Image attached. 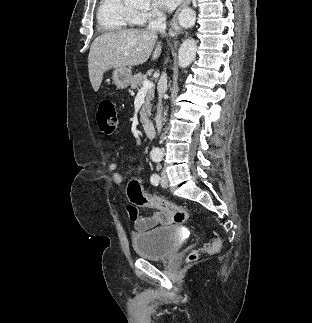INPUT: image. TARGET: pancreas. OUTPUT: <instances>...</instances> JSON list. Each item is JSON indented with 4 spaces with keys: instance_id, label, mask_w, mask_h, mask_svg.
Returning <instances> with one entry per match:
<instances>
[{
    "instance_id": "1",
    "label": "pancreas",
    "mask_w": 312,
    "mask_h": 323,
    "mask_svg": "<svg viewBox=\"0 0 312 323\" xmlns=\"http://www.w3.org/2000/svg\"><path fill=\"white\" fill-rule=\"evenodd\" d=\"M147 80V76H144V74H135L133 78H131V88L132 90H139V86H143V82ZM154 98V88H151V90H148L146 94V100L144 106H142V110L140 112V122H145L147 120L148 116H150L151 112V102Z\"/></svg>"
}]
</instances>
